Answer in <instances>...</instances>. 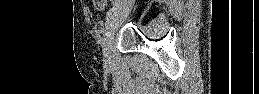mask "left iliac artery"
Listing matches in <instances>:
<instances>
[{
	"label": "left iliac artery",
	"mask_w": 259,
	"mask_h": 94,
	"mask_svg": "<svg viewBox=\"0 0 259 94\" xmlns=\"http://www.w3.org/2000/svg\"><path fill=\"white\" fill-rule=\"evenodd\" d=\"M116 8L112 7L108 10L107 14H106V19L108 20L115 12Z\"/></svg>",
	"instance_id": "left-iliac-artery-1"
}]
</instances>
